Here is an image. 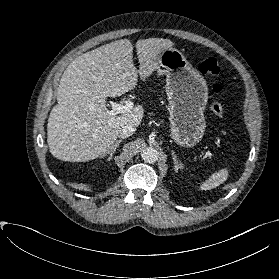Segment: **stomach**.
I'll list each match as a JSON object with an SVG mask.
<instances>
[{"label":"stomach","mask_w":279,"mask_h":279,"mask_svg":"<svg viewBox=\"0 0 279 279\" xmlns=\"http://www.w3.org/2000/svg\"><path fill=\"white\" fill-rule=\"evenodd\" d=\"M156 70L159 75H166L172 138L181 146L196 145L206 127L204 110L208 87L205 79L174 47L160 52Z\"/></svg>","instance_id":"1"}]
</instances>
